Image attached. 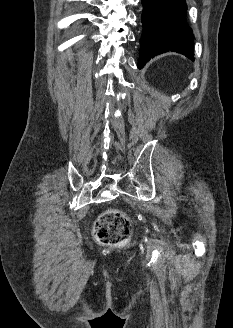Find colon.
I'll list each match as a JSON object with an SVG mask.
<instances>
[{
	"label": "colon",
	"instance_id": "obj_1",
	"mask_svg": "<svg viewBox=\"0 0 233 328\" xmlns=\"http://www.w3.org/2000/svg\"><path fill=\"white\" fill-rule=\"evenodd\" d=\"M131 222L120 210L109 209L103 212L94 228V236L98 243L116 246L126 242L131 236Z\"/></svg>",
	"mask_w": 233,
	"mask_h": 328
}]
</instances>
